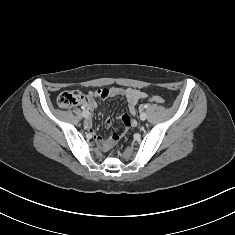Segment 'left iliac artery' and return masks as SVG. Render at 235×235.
I'll list each match as a JSON object with an SVG mask.
<instances>
[{"mask_svg":"<svg viewBox=\"0 0 235 235\" xmlns=\"http://www.w3.org/2000/svg\"><path fill=\"white\" fill-rule=\"evenodd\" d=\"M144 108H148V105H147V104H145V105H144Z\"/></svg>","mask_w":235,"mask_h":235,"instance_id":"44dca946","label":"left iliac artery"}]
</instances>
